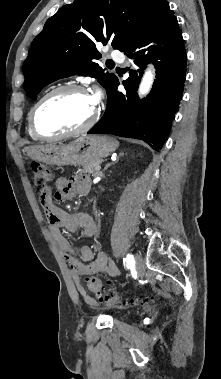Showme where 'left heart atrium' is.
<instances>
[{
    "instance_id": "1",
    "label": "left heart atrium",
    "mask_w": 221,
    "mask_h": 379,
    "mask_svg": "<svg viewBox=\"0 0 221 379\" xmlns=\"http://www.w3.org/2000/svg\"><path fill=\"white\" fill-rule=\"evenodd\" d=\"M90 97H91L93 103H94L95 105H97V104L99 103V101H100L101 94H100V92H99L98 90H95V91L90 95Z\"/></svg>"
}]
</instances>
